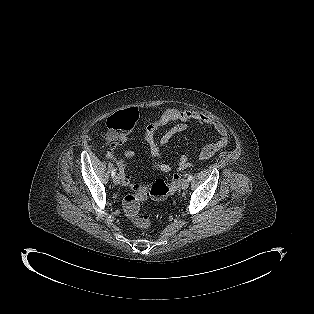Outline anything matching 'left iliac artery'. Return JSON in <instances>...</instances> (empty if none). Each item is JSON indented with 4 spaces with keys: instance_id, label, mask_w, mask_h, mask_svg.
I'll return each instance as SVG.
<instances>
[{
    "instance_id": "44dca946",
    "label": "left iliac artery",
    "mask_w": 314,
    "mask_h": 314,
    "mask_svg": "<svg viewBox=\"0 0 314 314\" xmlns=\"http://www.w3.org/2000/svg\"><path fill=\"white\" fill-rule=\"evenodd\" d=\"M192 179H193V176L190 174V175L188 176V180L191 181Z\"/></svg>"
}]
</instances>
